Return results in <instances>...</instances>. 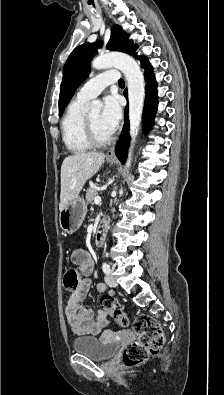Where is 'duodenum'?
Masks as SVG:
<instances>
[{
  "label": "duodenum",
  "mask_w": 224,
  "mask_h": 395,
  "mask_svg": "<svg viewBox=\"0 0 224 395\" xmlns=\"http://www.w3.org/2000/svg\"><path fill=\"white\" fill-rule=\"evenodd\" d=\"M109 227V221L104 219L98 226L96 234L94 236V245L100 247L105 243L106 235Z\"/></svg>",
  "instance_id": "duodenum-1"
}]
</instances>
